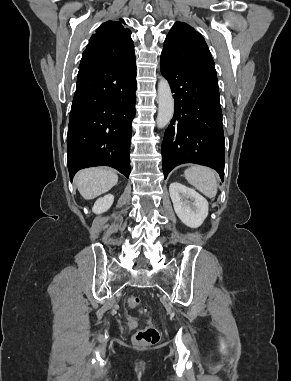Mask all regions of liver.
Masks as SVG:
<instances>
[{
  "instance_id": "obj_1",
  "label": "liver",
  "mask_w": 291,
  "mask_h": 381,
  "mask_svg": "<svg viewBox=\"0 0 291 381\" xmlns=\"http://www.w3.org/2000/svg\"><path fill=\"white\" fill-rule=\"evenodd\" d=\"M75 182L81 196L86 200H91L115 186L118 176L109 169L88 168L76 174Z\"/></svg>"
}]
</instances>
